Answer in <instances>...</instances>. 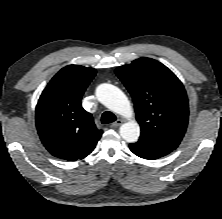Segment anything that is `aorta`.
<instances>
[{
    "label": "aorta",
    "mask_w": 222,
    "mask_h": 219,
    "mask_svg": "<svg viewBox=\"0 0 222 219\" xmlns=\"http://www.w3.org/2000/svg\"><path fill=\"white\" fill-rule=\"evenodd\" d=\"M98 100L113 112L124 117H131L133 111L126 95L116 86L108 83L99 85L96 89ZM120 136L129 143H134L140 136V127L135 120L121 125Z\"/></svg>",
    "instance_id": "obj_1"
}]
</instances>
